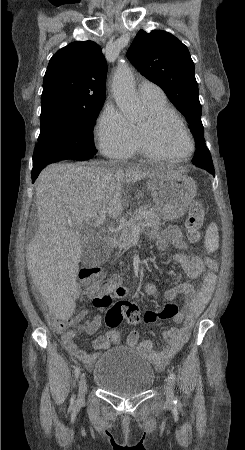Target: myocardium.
<instances>
[{
	"label": "myocardium",
	"instance_id": "f54148a6",
	"mask_svg": "<svg viewBox=\"0 0 245 450\" xmlns=\"http://www.w3.org/2000/svg\"><path fill=\"white\" fill-rule=\"evenodd\" d=\"M168 120H171L179 125L185 133L190 143V150L188 153L180 156H171L163 153L157 147L153 139V134L157 132L161 128V126ZM139 137L144 154L148 158L153 160H186L190 158L196 150L195 141L188 127L182 122L181 119H179L175 114L169 111H161L158 113L150 114L146 126L139 128Z\"/></svg>",
	"mask_w": 245,
	"mask_h": 450
}]
</instances>
